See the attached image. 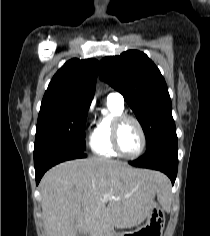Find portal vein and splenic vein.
I'll use <instances>...</instances> for the list:
<instances>
[{
	"label": "portal vein and splenic vein",
	"instance_id": "18ae733b",
	"mask_svg": "<svg viewBox=\"0 0 210 236\" xmlns=\"http://www.w3.org/2000/svg\"><path fill=\"white\" fill-rule=\"evenodd\" d=\"M105 198H108V199H115L113 196H105Z\"/></svg>",
	"mask_w": 210,
	"mask_h": 236
}]
</instances>
